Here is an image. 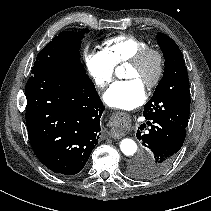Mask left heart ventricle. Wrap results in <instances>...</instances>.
Returning <instances> with one entry per match:
<instances>
[{"instance_id": "b2bd125f", "label": "left heart ventricle", "mask_w": 211, "mask_h": 211, "mask_svg": "<svg viewBox=\"0 0 211 211\" xmlns=\"http://www.w3.org/2000/svg\"><path fill=\"white\" fill-rule=\"evenodd\" d=\"M156 71V60L154 57H149L146 61L139 65L128 64L127 77L136 78L143 84L148 82L155 74Z\"/></svg>"}]
</instances>
